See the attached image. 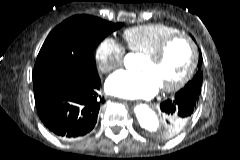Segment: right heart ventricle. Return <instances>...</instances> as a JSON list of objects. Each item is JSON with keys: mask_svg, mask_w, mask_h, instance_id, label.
<instances>
[{"mask_svg": "<svg viewBox=\"0 0 240 160\" xmlns=\"http://www.w3.org/2000/svg\"><path fill=\"white\" fill-rule=\"evenodd\" d=\"M179 33L173 26L163 23H150L126 29L123 38L130 51L146 55L154 51L166 37Z\"/></svg>", "mask_w": 240, "mask_h": 160, "instance_id": "right-heart-ventricle-1", "label": "right heart ventricle"}]
</instances>
